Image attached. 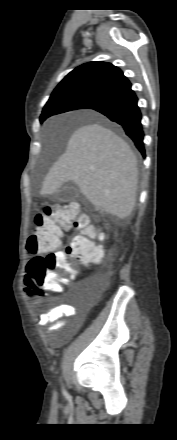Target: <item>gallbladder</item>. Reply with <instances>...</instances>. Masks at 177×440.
<instances>
[{
  "instance_id": "gallbladder-1",
  "label": "gallbladder",
  "mask_w": 177,
  "mask_h": 440,
  "mask_svg": "<svg viewBox=\"0 0 177 440\" xmlns=\"http://www.w3.org/2000/svg\"><path fill=\"white\" fill-rule=\"evenodd\" d=\"M79 190L74 186H64L51 199L54 202H70L79 197Z\"/></svg>"
}]
</instances>
